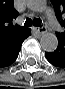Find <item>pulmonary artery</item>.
Returning a JSON list of instances; mask_svg holds the SVG:
<instances>
[{"label":"pulmonary artery","mask_w":65,"mask_h":89,"mask_svg":"<svg viewBox=\"0 0 65 89\" xmlns=\"http://www.w3.org/2000/svg\"><path fill=\"white\" fill-rule=\"evenodd\" d=\"M48 22H49V25H50L51 27H55V26H56V22H55V19H54L53 17H50V18L48 19Z\"/></svg>","instance_id":"obj_1"}]
</instances>
